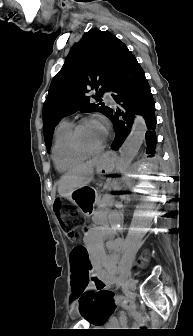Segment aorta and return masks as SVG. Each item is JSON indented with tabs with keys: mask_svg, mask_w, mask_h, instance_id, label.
<instances>
[{
	"mask_svg": "<svg viewBox=\"0 0 193 336\" xmlns=\"http://www.w3.org/2000/svg\"><path fill=\"white\" fill-rule=\"evenodd\" d=\"M146 130L145 119L141 115H136L130 134L126 138L120 151V171L126 170L133 161L145 139Z\"/></svg>",
	"mask_w": 193,
	"mask_h": 336,
	"instance_id": "aorta-1",
	"label": "aorta"
}]
</instances>
